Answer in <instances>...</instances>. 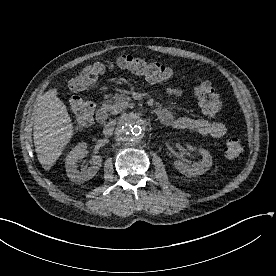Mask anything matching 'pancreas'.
I'll use <instances>...</instances> for the list:
<instances>
[{"mask_svg":"<svg viewBox=\"0 0 276 276\" xmlns=\"http://www.w3.org/2000/svg\"><path fill=\"white\" fill-rule=\"evenodd\" d=\"M132 99L130 96L126 95L125 93H116L112 99L107 100V109L112 114L120 113L127 107H133L131 103Z\"/></svg>","mask_w":276,"mask_h":276,"instance_id":"pancreas-1","label":"pancreas"}]
</instances>
